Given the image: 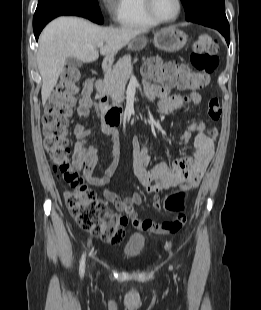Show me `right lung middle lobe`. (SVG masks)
Returning <instances> with one entry per match:
<instances>
[{"mask_svg": "<svg viewBox=\"0 0 261 310\" xmlns=\"http://www.w3.org/2000/svg\"><path fill=\"white\" fill-rule=\"evenodd\" d=\"M76 15L102 24L103 17L97 0H38L33 24L50 16Z\"/></svg>", "mask_w": 261, "mask_h": 310, "instance_id": "obj_1", "label": "right lung middle lobe"}]
</instances>
